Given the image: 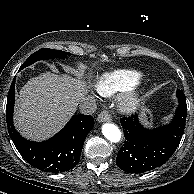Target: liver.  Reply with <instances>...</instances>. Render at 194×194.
Listing matches in <instances>:
<instances>
[{
	"label": "liver",
	"instance_id": "6515ba94",
	"mask_svg": "<svg viewBox=\"0 0 194 194\" xmlns=\"http://www.w3.org/2000/svg\"><path fill=\"white\" fill-rule=\"evenodd\" d=\"M87 88L84 80L66 74L47 72L31 78L16 100V127L28 139L49 138L75 113Z\"/></svg>",
	"mask_w": 194,
	"mask_h": 194
}]
</instances>
